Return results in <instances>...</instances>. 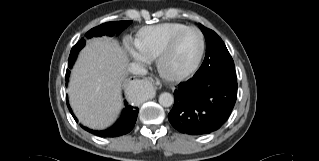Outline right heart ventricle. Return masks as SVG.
Returning a JSON list of instances; mask_svg holds the SVG:
<instances>
[{"mask_svg":"<svg viewBox=\"0 0 319 161\" xmlns=\"http://www.w3.org/2000/svg\"><path fill=\"white\" fill-rule=\"evenodd\" d=\"M186 27L188 26L176 22L144 27L137 33L135 47L143 58L154 59L159 56L169 38Z\"/></svg>","mask_w":319,"mask_h":161,"instance_id":"obj_1","label":"right heart ventricle"}]
</instances>
